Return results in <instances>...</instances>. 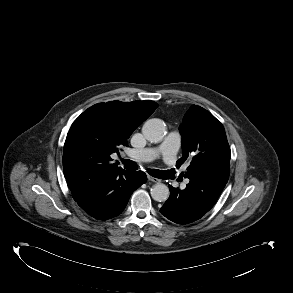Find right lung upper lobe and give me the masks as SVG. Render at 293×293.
Here are the masks:
<instances>
[{
	"label": "right lung upper lobe",
	"mask_w": 293,
	"mask_h": 293,
	"mask_svg": "<svg viewBox=\"0 0 293 293\" xmlns=\"http://www.w3.org/2000/svg\"><path fill=\"white\" fill-rule=\"evenodd\" d=\"M153 101L98 103L84 111L72 124L64 144L63 170L73 199L89 215L103 219L112 206L101 201L86 187L104 172L116 170L112 153L119 154L120 146L157 108ZM91 156L97 165L83 167L84 157Z\"/></svg>",
	"instance_id": "cb5924a9"
}]
</instances>
